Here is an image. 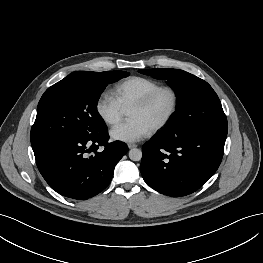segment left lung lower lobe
I'll list each match as a JSON object with an SVG mask.
<instances>
[{
	"mask_svg": "<svg viewBox=\"0 0 263 263\" xmlns=\"http://www.w3.org/2000/svg\"><path fill=\"white\" fill-rule=\"evenodd\" d=\"M227 131V127H218L186 134L160 132L143 145V179L168 196L193 193L218 169Z\"/></svg>",
	"mask_w": 263,
	"mask_h": 263,
	"instance_id": "obj_1",
	"label": "left lung lower lobe"
}]
</instances>
